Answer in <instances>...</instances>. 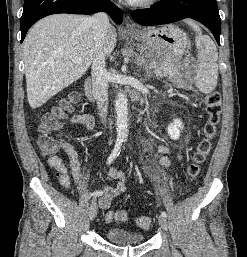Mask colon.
Masks as SVG:
<instances>
[{"mask_svg": "<svg viewBox=\"0 0 247 257\" xmlns=\"http://www.w3.org/2000/svg\"><path fill=\"white\" fill-rule=\"evenodd\" d=\"M79 100L77 93H70L66 98L53 107L49 112L45 113L39 124L40 137L38 145L43 157L49 158L54 156L58 151V143L52 136L57 130L66 116L71 113L74 106ZM206 113V124L204 126V137L199 142L194 152L192 162L188 166L187 174L191 180L195 178L201 170V166L205 163L212 147V141L217 132V126L221 117V96L218 92L207 94L203 98ZM106 222H125L128 219L126 211H107L104 215ZM151 224L148 216L142 215L137 219V225L142 229H147Z\"/></svg>", "mask_w": 247, "mask_h": 257, "instance_id": "obj_1", "label": "colon"}]
</instances>
